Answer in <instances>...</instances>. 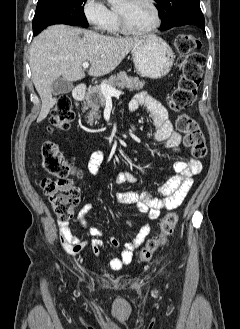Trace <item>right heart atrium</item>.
Masks as SVG:
<instances>
[{
  "instance_id": "obj_1",
  "label": "right heart atrium",
  "mask_w": 240,
  "mask_h": 329,
  "mask_svg": "<svg viewBox=\"0 0 240 329\" xmlns=\"http://www.w3.org/2000/svg\"><path fill=\"white\" fill-rule=\"evenodd\" d=\"M83 15L92 28L98 32L107 30L111 21V10L104 0H85Z\"/></svg>"
}]
</instances>
